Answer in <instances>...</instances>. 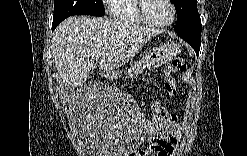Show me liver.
<instances>
[{
    "mask_svg": "<svg viewBox=\"0 0 247 156\" xmlns=\"http://www.w3.org/2000/svg\"><path fill=\"white\" fill-rule=\"evenodd\" d=\"M159 33L157 29L108 17H69L56 28L52 39L61 85H80L97 60L99 69L112 73Z\"/></svg>",
    "mask_w": 247,
    "mask_h": 156,
    "instance_id": "6515ba94",
    "label": "liver"
}]
</instances>
